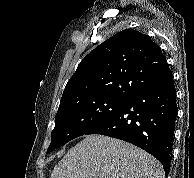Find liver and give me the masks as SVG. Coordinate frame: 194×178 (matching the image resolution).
I'll list each match as a JSON object with an SVG mask.
<instances>
[{
    "label": "liver",
    "instance_id": "6515ba94",
    "mask_svg": "<svg viewBox=\"0 0 194 178\" xmlns=\"http://www.w3.org/2000/svg\"><path fill=\"white\" fill-rule=\"evenodd\" d=\"M50 178H164V170L157 159L130 143L87 135L54 167Z\"/></svg>",
    "mask_w": 194,
    "mask_h": 178
}]
</instances>
